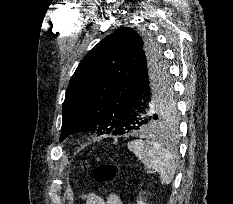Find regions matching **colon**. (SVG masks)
I'll return each mask as SVG.
<instances>
[{
    "label": "colon",
    "instance_id": "obj_1",
    "mask_svg": "<svg viewBox=\"0 0 233 204\" xmlns=\"http://www.w3.org/2000/svg\"><path fill=\"white\" fill-rule=\"evenodd\" d=\"M118 170L116 164H102L94 169L93 178L97 183H108L116 177Z\"/></svg>",
    "mask_w": 233,
    "mask_h": 204
}]
</instances>
